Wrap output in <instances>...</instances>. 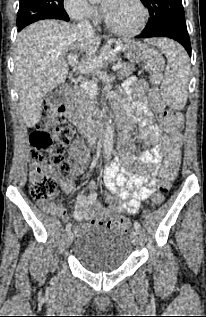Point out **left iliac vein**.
I'll use <instances>...</instances> for the list:
<instances>
[{
	"mask_svg": "<svg viewBox=\"0 0 206 317\" xmlns=\"http://www.w3.org/2000/svg\"><path fill=\"white\" fill-rule=\"evenodd\" d=\"M130 238H131L132 243L134 245H137L139 242L138 231H136L135 229L132 230V232L130 234Z\"/></svg>",
	"mask_w": 206,
	"mask_h": 317,
	"instance_id": "1",
	"label": "left iliac vein"
}]
</instances>
